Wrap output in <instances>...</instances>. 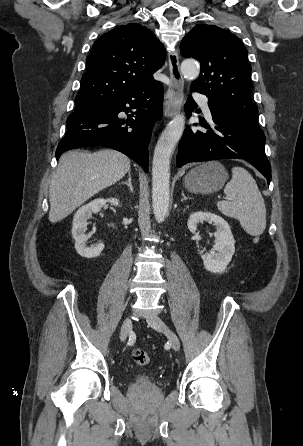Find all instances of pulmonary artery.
Segmentation results:
<instances>
[{"mask_svg": "<svg viewBox=\"0 0 303 446\" xmlns=\"http://www.w3.org/2000/svg\"><path fill=\"white\" fill-rule=\"evenodd\" d=\"M195 99L200 103V105L202 106L203 112L205 114V116L207 118H211V111L208 105V99L206 96L202 95V94H198L196 93L194 95Z\"/></svg>", "mask_w": 303, "mask_h": 446, "instance_id": "pulmonary-artery-1", "label": "pulmonary artery"}]
</instances>
